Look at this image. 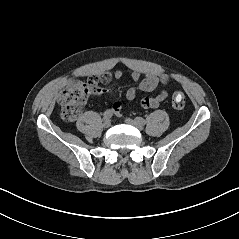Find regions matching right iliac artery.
Segmentation results:
<instances>
[{"label": "right iliac artery", "instance_id": "1", "mask_svg": "<svg viewBox=\"0 0 239 239\" xmlns=\"http://www.w3.org/2000/svg\"><path fill=\"white\" fill-rule=\"evenodd\" d=\"M113 116V111L112 110H106L103 114V118L105 120L110 119Z\"/></svg>", "mask_w": 239, "mask_h": 239}]
</instances>
